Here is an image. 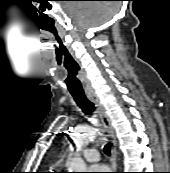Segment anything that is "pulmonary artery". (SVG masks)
Here are the masks:
<instances>
[{
    "label": "pulmonary artery",
    "mask_w": 170,
    "mask_h": 173,
    "mask_svg": "<svg viewBox=\"0 0 170 173\" xmlns=\"http://www.w3.org/2000/svg\"><path fill=\"white\" fill-rule=\"evenodd\" d=\"M82 156L87 162H97L100 159L99 153L96 149L90 148L82 151Z\"/></svg>",
    "instance_id": "1"
}]
</instances>
